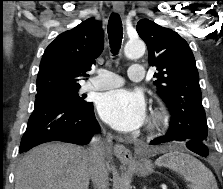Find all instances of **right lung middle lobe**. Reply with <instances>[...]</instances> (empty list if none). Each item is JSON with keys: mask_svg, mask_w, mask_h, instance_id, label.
Masks as SVG:
<instances>
[{"mask_svg": "<svg viewBox=\"0 0 223 189\" xmlns=\"http://www.w3.org/2000/svg\"><path fill=\"white\" fill-rule=\"evenodd\" d=\"M79 89L80 87L55 88L37 92L35 101H56L68 104L79 109L86 108L88 105H90V102L84 101V98L78 95Z\"/></svg>", "mask_w": 223, "mask_h": 189, "instance_id": "right-lung-middle-lobe-1", "label": "right lung middle lobe"}]
</instances>
